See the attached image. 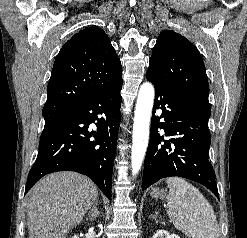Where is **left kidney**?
Returning <instances> with one entry per match:
<instances>
[{"mask_svg":"<svg viewBox=\"0 0 247 238\" xmlns=\"http://www.w3.org/2000/svg\"><path fill=\"white\" fill-rule=\"evenodd\" d=\"M152 238H180L178 235L170 234L168 231L165 230H158L153 235Z\"/></svg>","mask_w":247,"mask_h":238,"instance_id":"left-kidney-1","label":"left kidney"}]
</instances>
